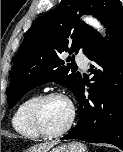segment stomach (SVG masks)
Returning <instances> with one entry per match:
<instances>
[{"label":"stomach","instance_id":"obj_1","mask_svg":"<svg viewBox=\"0 0 123 152\" xmlns=\"http://www.w3.org/2000/svg\"><path fill=\"white\" fill-rule=\"evenodd\" d=\"M49 152H86V147L78 142H71L54 147Z\"/></svg>","mask_w":123,"mask_h":152}]
</instances>
